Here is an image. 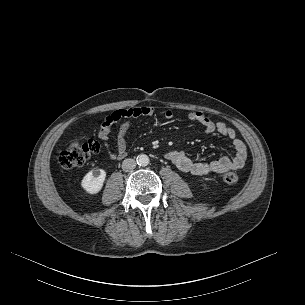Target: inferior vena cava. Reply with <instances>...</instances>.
I'll use <instances>...</instances> for the list:
<instances>
[{
  "mask_svg": "<svg viewBox=\"0 0 305 305\" xmlns=\"http://www.w3.org/2000/svg\"><path fill=\"white\" fill-rule=\"evenodd\" d=\"M136 167V161L131 158H127L122 162V169L125 172H129Z\"/></svg>",
  "mask_w": 305,
  "mask_h": 305,
  "instance_id": "602c4592",
  "label": "inferior vena cava"
}]
</instances>
